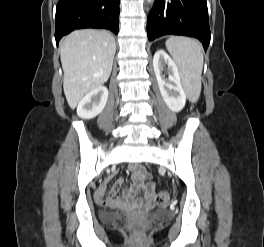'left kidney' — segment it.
<instances>
[{
	"mask_svg": "<svg viewBox=\"0 0 264 247\" xmlns=\"http://www.w3.org/2000/svg\"><path fill=\"white\" fill-rule=\"evenodd\" d=\"M167 65L168 78L162 75ZM154 72L159 85L160 93L173 112L181 111L186 103V94L181 84L180 74L176 64L163 50H158L153 58Z\"/></svg>",
	"mask_w": 264,
	"mask_h": 247,
	"instance_id": "obj_1",
	"label": "left kidney"
}]
</instances>
